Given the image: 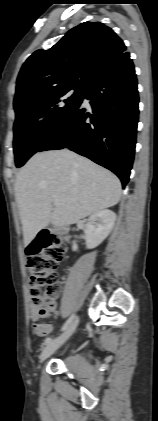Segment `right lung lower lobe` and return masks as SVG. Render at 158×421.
Here are the masks:
<instances>
[{
	"label": "right lung lower lobe",
	"mask_w": 158,
	"mask_h": 421,
	"mask_svg": "<svg viewBox=\"0 0 158 421\" xmlns=\"http://www.w3.org/2000/svg\"><path fill=\"white\" fill-rule=\"evenodd\" d=\"M138 102L134 65L126 52L89 80L80 102L37 152L67 147L114 172L125 187L134 159Z\"/></svg>",
	"instance_id": "obj_1"
}]
</instances>
